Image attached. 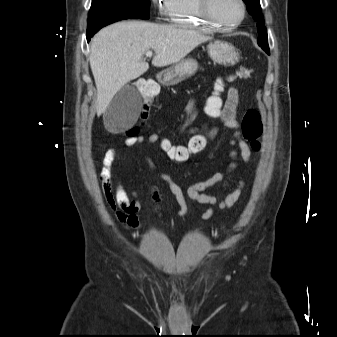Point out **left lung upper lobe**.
Instances as JSON below:
<instances>
[{
	"label": "left lung upper lobe",
	"mask_w": 337,
	"mask_h": 337,
	"mask_svg": "<svg viewBox=\"0 0 337 337\" xmlns=\"http://www.w3.org/2000/svg\"><path fill=\"white\" fill-rule=\"evenodd\" d=\"M247 5L248 12L253 16V18L258 22V33L259 46L269 54V46L267 39L266 27L264 26V19L261 13V6L259 0H243Z\"/></svg>",
	"instance_id": "left-lung-upper-lobe-1"
}]
</instances>
